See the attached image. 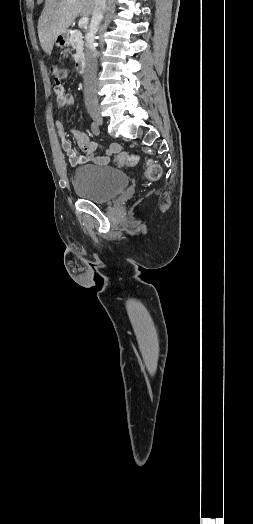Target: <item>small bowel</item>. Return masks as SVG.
<instances>
[{
	"mask_svg": "<svg viewBox=\"0 0 253 524\" xmlns=\"http://www.w3.org/2000/svg\"><path fill=\"white\" fill-rule=\"evenodd\" d=\"M54 93L60 106L68 107L73 105V95L66 93L63 87L59 90L54 87ZM55 126L58 137L61 141V147L67 155L69 165L72 167L85 165L88 163L106 165L109 163L111 157L119 153L121 150V146L118 143H111L103 154L96 156L94 153L98 147V144L91 141L89 136L84 131L74 129L72 130V135L82 151V154H77L72 147V143L67 139L68 130L64 122L58 119L55 122Z\"/></svg>",
	"mask_w": 253,
	"mask_h": 524,
	"instance_id": "obj_1",
	"label": "small bowel"
}]
</instances>
